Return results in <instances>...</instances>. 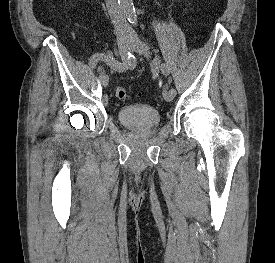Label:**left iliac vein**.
Listing matches in <instances>:
<instances>
[{"label":"left iliac vein","instance_id":"4c4485c4","mask_svg":"<svg viewBox=\"0 0 275 263\" xmlns=\"http://www.w3.org/2000/svg\"><path fill=\"white\" fill-rule=\"evenodd\" d=\"M130 46L134 52L140 55H143L147 58L149 57L148 47L137 36H134L131 39ZM162 94H163V98L166 101H172L175 97V94L172 93L170 90H164Z\"/></svg>","mask_w":275,"mask_h":263}]
</instances>
